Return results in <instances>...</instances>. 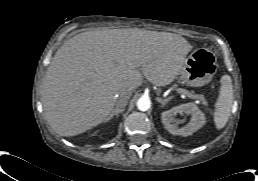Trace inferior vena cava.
Segmentation results:
<instances>
[{"instance_id": "inferior-vena-cava-1", "label": "inferior vena cava", "mask_w": 258, "mask_h": 181, "mask_svg": "<svg viewBox=\"0 0 258 181\" xmlns=\"http://www.w3.org/2000/svg\"><path fill=\"white\" fill-rule=\"evenodd\" d=\"M131 94L130 93H125L121 95L120 97L117 98L116 100V108L117 109H124V107L127 105L128 100L130 99Z\"/></svg>"}]
</instances>
